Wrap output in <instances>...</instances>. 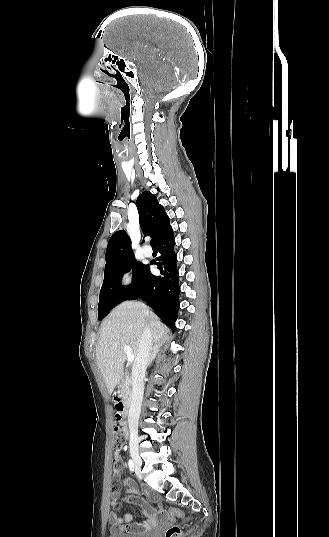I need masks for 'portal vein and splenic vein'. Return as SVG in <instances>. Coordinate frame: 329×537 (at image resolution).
<instances>
[{"mask_svg": "<svg viewBox=\"0 0 329 537\" xmlns=\"http://www.w3.org/2000/svg\"><path fill=\"white\" fill-rule=\"evenodd\" d=\"M124 350H125V352L127 354V361L132 362L134 360L135 356L131 352L132 351L131 347L128 346V345H125Z\"/></svg>", "mask_w": 329, "mask_h": 537, "instance_id": "1", "label": "portal vein and splenic vein"}]
</instances>
